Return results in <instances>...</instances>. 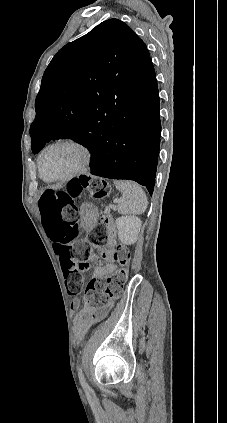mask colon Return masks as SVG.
<instances>
[{
	"label": "colon",
	"mask_w": 227,
	"mask_h": 423,
	"mask_svg": "<svg viewBox=\"0 0 227 423\" xmlns=\"http://www.w3.org/2000/svg\"><path fill=\"white\" fill-rule=\"evenodd\" d=\"M90 189L96 196L107 193L105 185L89 178H77L66 187L44 189L39 197L38 206L42 223L48 236L56 243L65 287L70 296L77 295L83 285V273L88 270L93 258V247L103 246L108 242L112 218L104 216L87 241L73 243L72 236L78 230L79 211L76 199L80 193ZM119 269L106 279L93 278L85 287L84 302L87 312L100 310L112 299L118 298L128 277L130 253L126 248L118 247L113 255Z\"/></svg>",
	"instance_id": "obj_1"
}]
</instances>
